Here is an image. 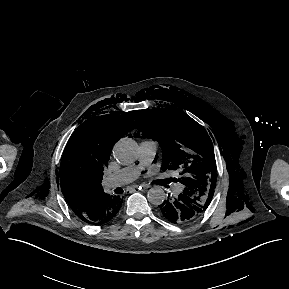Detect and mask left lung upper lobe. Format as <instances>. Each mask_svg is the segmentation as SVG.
<instances>
[{"label": "left lung upper lobe", "instance_id": "left-lung-upper-lobe-1", "mask_svg": "<svg viewBox=\"0 0 289 289\" xmlns=\"http://www.w3.org/2000/svg\"><path fill=\"white\" fill-rule=\"evenodd\" d=\"M138 136L157 140L164 170H178L184 189L203 188L210 204L216 186L213 144L205 129L182 110L168 107L140 113Z\"/></svg>", "mask_w": 289, "mask_h": 289}]
</instances>
